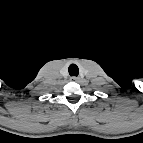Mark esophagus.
I'll use <instances>...</instances> for the list:
<instances>
[{"label":"esophagus","instance_id":"obj_1","mask_svg":"<svg viewBox=\"0 0 143 143\" xmlns=\"http://www.w3.org/2000/svg\"><path fill=\"white\" fill-rule=\"evenodd\" d=\"M71 81L78 82L79 81V77L73 76V77H71Z\"/></svg>","mask_w":143,"mask_h":143}]
</instances>
